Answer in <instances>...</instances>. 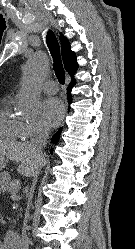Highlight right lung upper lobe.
Listing matches in <instances>:
<instances>
[{"mask_svg": "<svg viewBox=\"0 0 135 249\" xmlns=\"http://www.w3.org/2000/svg\"><path fill=\"white\" fill-rule=\"evenodd\" d=\"M60 42L65 69L70 74L71 78H74V74L78 69L76 54L70 49V43L62 33H60Z\"/></svg>", "mask_w": 135, "mask_h": 249, "instance_id": "1", "label": "right lung upper lobe"}]
</instances>
